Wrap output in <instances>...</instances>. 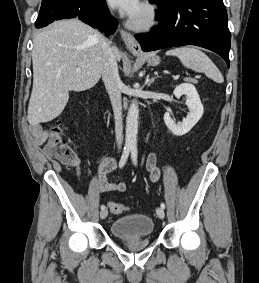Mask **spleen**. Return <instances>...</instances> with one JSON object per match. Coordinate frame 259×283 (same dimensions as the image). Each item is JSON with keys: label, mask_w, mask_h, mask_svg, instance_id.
<instances>
[{"label": "spleen", "mask_w": 259, "mask_h": 283, "mask_svg": "<svg viewBox=\"0 0 259 283\" xmlns=\"http://www.w3.org/2000/svg\"><path fill=\"white\" fill-rule=\"evenodd\" d=\"M166 55L178 57L182 65L196 72L205 73L209 78L213 79L217 83H223L224 81L221 72L209 59V57L194 47L186 46L171 49L166 52Z\"/></svg>", "instance_id": "3e777b00"}]
</instances>
